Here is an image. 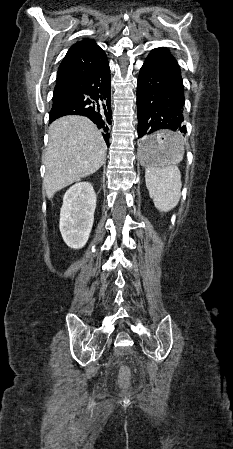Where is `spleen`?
<instances>
[{
    "instance_id": "spleen-1",
    "label": "spleen",
    "mask_w": 233,
    "mask_h": 449,
    "mask_svg": "<svg viewBox=\"0 0 233 449\" xmlns=\"http://www.w3.org/2000/svg\"><path fill=\"white\" fill-rule=\"evenodd\" d=\"M180 151L184 146L179 137ZM146 187L155 207L160 212H168L177 206L181 196V175L174 163L167 165H148L145 172Z\"/></svg>"
}]
</instances>
